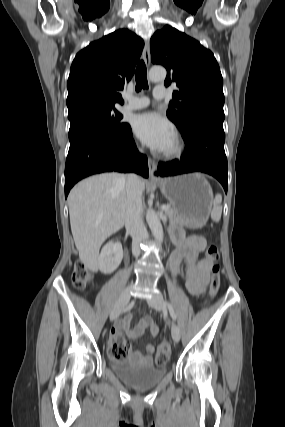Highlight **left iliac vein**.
<instances>
[{"label": "left iliac vein", "instance_id": "left-iliac-vein-1", "mask_svg": "<svg viewBox=\"0 0 285 427\" xmlns=\"http://www.w3.org/2000/svg\"><path fill=\"white\" fill-rule=\"evenodd\" d=\"M148 304L156 310H162V309H164V306H165L164 299H163L162 295L159 293L148 298ZM171 334H172V338L175 342H178L180 340V330H179V327L177 326V324H175V323H172Z\"/></svg>", "mask_w": 285, "mask_h": 427}]
</instances>
